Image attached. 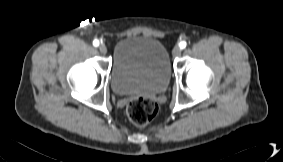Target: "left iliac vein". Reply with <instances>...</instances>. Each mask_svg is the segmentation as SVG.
I'll return each instance as SVG.
<instances>
[{"instance_id":"4c4485c4","label":"left iliac vein","mask_w":283,"mask_h":162,"mask_svg":"<svg viewBox=\"0 0 283 162\" xmlns=\"http://www.w3.org/2000/svg\"><path fill=\"white\" fill-rule=\"evenodd\" d=\"M181 48L179 46H175L172 50V54L174 57H178L181 55Z\"/></svg>"}]
</instances>
